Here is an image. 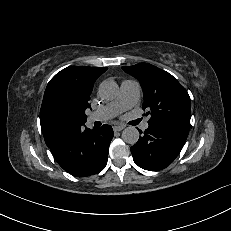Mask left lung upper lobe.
<instances>
[{"instance_id":"5c2ea615","label":"left lung upper lobe","mask_w":231,"mask_h":231,"mask_svg":"<svg viewBox=\"0 0 231 231\" xmlns=\"http://www.w3.org/2000/svg\"><path fill=\"white\" fill-rule=\"evenodd\" d=\"M122 69L139 80L144 94L142 108L151 116L149 122H167L190 128V97L175 77L148 63Z\"/></svg>"}]
</instances>
